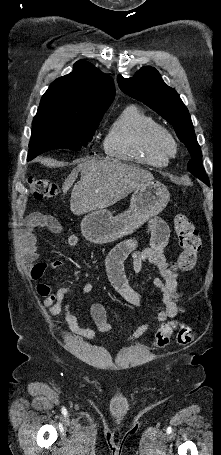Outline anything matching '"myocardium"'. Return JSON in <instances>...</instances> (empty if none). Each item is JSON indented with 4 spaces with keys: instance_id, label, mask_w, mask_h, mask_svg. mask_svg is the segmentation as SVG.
I'll use <instances>...</instances> for the list:
<instances>
[{
    "instance_id": "obj_1",
    "label": "myocardium",
    "mask_w": 221,
    "mask_h": 455,
    "mask_svg": "<svg viewBox=\"0 0 221 455\" xmlns=\"http://www.w3.org/2000/svg\"><path fill=\"white\" fill-rule=\"evenodd\" d=\"M153 138L156 146L164 153L165 156L172 157L175 155L177 143L166 129L159 127L154 133Z\"/></svg>"
}]
</instances>
